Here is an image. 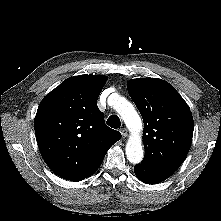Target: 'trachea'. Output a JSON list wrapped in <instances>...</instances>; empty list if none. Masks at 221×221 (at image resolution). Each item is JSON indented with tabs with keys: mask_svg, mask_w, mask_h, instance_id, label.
<instances>
[{
	"mask_svg": "<svg viewBox=\"0 0 221 221\" xmlns=\"http://www.w3.org/2000/svg\"><path fill=\"white\" fill-rule=\"evenodd\" d=\"M107 125H109L111 128L117 129L121 126L120 119L117 115H111L107 119Z\"/></svg>",
	"mask_w": 221,
	"mask_h": 221,
	"instance_id": "trachea-1",
	"label": "trachea"
}]
</instances>
